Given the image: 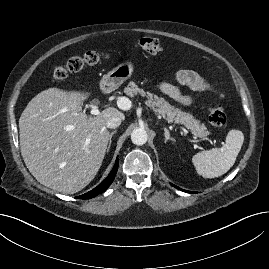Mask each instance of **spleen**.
<instances>
[{
  "label": "spleen",
  "instance_id": "3e777b00",
  "mask_svg": "<svg viewBox=\"0 0 269 269\" xmlns=\"http://www.w3.org/2000/svg\"><path fill=\"white\" fill-rule=\"evenodd\" d=\"M244 142V134L232 129L226 136L221 148L201 151L193 156L192 162L204 178H215L224 175L234 165Z\"/></svg>",
  "mask_w": 269,
  "mask_h": 269
}]
</instances>
